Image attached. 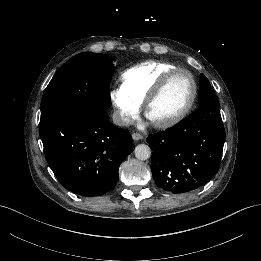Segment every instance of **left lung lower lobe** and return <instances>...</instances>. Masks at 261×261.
Here are the masks:
<instances>
[{"label": "left lung lower lobe", "instance_id": "0a47b994", "mask_svg": "<svg viewBox=\"0 0 261 261\" xmlns=\"http://www.w3.org/2000/svg\"><path fill=\"white\" fill-rule=\"evenodd\" d=\"M146 141L154 150L151 170L159 188L175 194L201 188L220 166L225 130L218 103L200 105L176 126Z\"/></svg>", "mask_w": 261, "mask_h": 261}]
</instances>
